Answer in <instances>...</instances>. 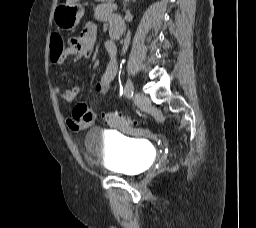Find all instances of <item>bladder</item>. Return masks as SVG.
I'll return each instance as SVG.
<instances>
[{"mask_svg":"<svg viewBox=\"0 0 256 228\" xmlns=\"http://www.w3.org/2000/svg\"><path fill=\"white\" fill-rule=\"evenodd\" d=\"M91 163L119 175L136 176L148 166L149 151L136 140L111 138L99 128H92L85 138Z\"/></svg>","mask_w":256,"mask_h":228,"instance_id":"31cf9c89","label":"bladder"}]
</instances>
